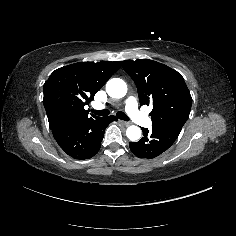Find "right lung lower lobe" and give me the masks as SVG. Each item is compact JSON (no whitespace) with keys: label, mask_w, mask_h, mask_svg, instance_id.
<instances>
[{"label":"right lung lower lobe","mask_w":236,"mask_h":236,"mask_svg":"<svg viewBox=\"0 0 236 236\" xmlns=\"http://www.w3.org/2000/svg\"><path fill=\"white\" fill-rule=\"evenodd\" d=\"M115 116L91 117L83 120L69 121L52 129L58 145L75 159H89L101 147L105 128Z\"/></svg>","instance_id":"1"}]
</instances>
